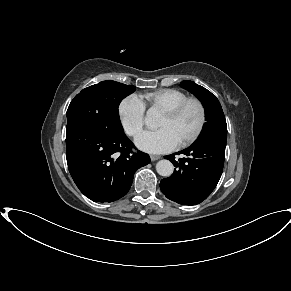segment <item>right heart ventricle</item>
Wrapping results in <instances>:
<instances>
[{
  "instance_id": "obj_1",
  "label": "right heart ventricle",
  "mask_w": 291,
  "mask_h": 291,
  "mask_svg": "<svg viewBox=\"0 0 291 291\" xmlns=\"http://www.w3.org/2000/svg\"><path fill=\"white\" fill-rule=\"evenodd\" d=\"M141 98L151 110L164 112L188 98V95L177 89H159L144 93Z\"/></svg>"
}]
</instances>
